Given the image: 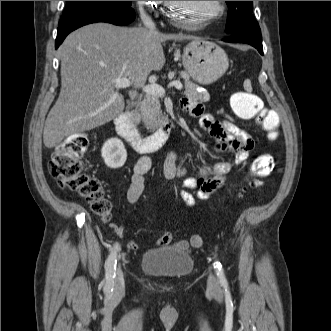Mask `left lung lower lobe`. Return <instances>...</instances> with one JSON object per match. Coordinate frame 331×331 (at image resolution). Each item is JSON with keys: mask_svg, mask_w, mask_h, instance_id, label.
<instances>
[{"mask_svg": "<svg viewBox=\"0 0 331 331\" xmlns=\"http://www.w3.org/2000/svg\"><path fill=\"white\" fill-rule=\"evenodd\" d=\"M225 42L232 43H247L255 47L260 54L263 55L262 36L261 31L242 32L229 35V37L223 39Z\"/></svg>", "mask_w": 331, "mask_h": 331, "instance_id": "left-lung-lower-lobe-1", "label": "left lung lower lobe"}]
</instances>
